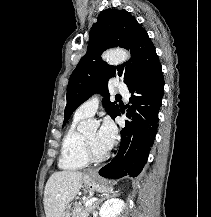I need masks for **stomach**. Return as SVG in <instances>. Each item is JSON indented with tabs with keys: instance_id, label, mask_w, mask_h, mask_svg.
<instances>
[{
	"instance_id": "stomach-1",
	"label": "stomach",
	"mask_w": 211,
	"mask_h": 217,
	"mask_svg": "<svg viewBox=\"0 0 211 217\" xmlns=\"http://www.w3.org/2000/svg\"><path fill=\"white\" fill-rule=\"evenodd\" d=\"M84 185L93 191L98 192H110L112 187L104 182L95 172H89L83 177ZM73 216V207L68 205L61 217H72Z\"/></svg>"
}]
</instances>
